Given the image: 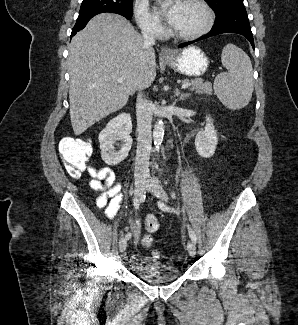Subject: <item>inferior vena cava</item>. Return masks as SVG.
Instances as JSON below:
<instances>
[{
	"mask_svg": "<svg viewBox=\"0 0 298 325\" xmlns=\"http://www.w3.org/2000/svg\"><path fill=\"white\" fill-rule=\"evenodd\" d=\"M141 32L145 48H147V46H153V44L156 42V36L152 24H149V22L143 20ZM153 108L154 104L152 100L143 98L142 92H138V96L136 98L138 142L134 169V177L137 179V181H141V179H147V177H149Z\"/></svg>",
	"mask_w": 298,
	"mask_h": 325,
	"instance_id": "602c4592",
	"label": "inferior vena cava"
}]
</instances>
